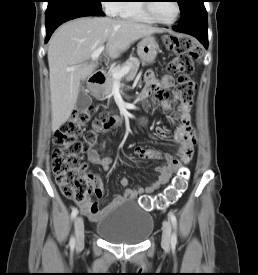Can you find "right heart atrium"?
I'll use <instances>...</instances> for the list:
<instances>
[{
    "label": "right heart atrium",
    "instance_id": "right-heart-atrium-1",
    "mask_svg": "<svg viewBox=\"0 0 258 275\" xmlns=\"http://www.w3.org/2000/svg\"><path fill=\"white\" fill-rule=\"evenodd\" d=\"M106 2H108V3H106V9H107L108 13L114 14L117 9V5H118V3H114V2H118V1L110 0V1H106Z\"/></svg>",
    "mask_w": 258,
    "mask_h": 275
}]
</instances>
